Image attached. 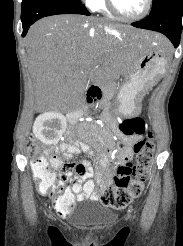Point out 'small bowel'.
Returning a JSON list of instances; mask_svg holds the SVG:
<instances>
[{
  "label": "small bowel",
  "instance_id": "small-bowel-1",
  "mask_svg": "<svg viewBox=\"0 0 183 246\" xmlns=\"http://www.w3.org/2000/svg\"><path fill=\"white\" fill-rule=\"evenodd\" d=\"M82 138L86 141L76 140L73 144H60L55 147L53 153L46 152L50 158V164L57 170L63 181L71 180V189H66L60 195L65 199H70L72 204L84 200H98L99 195L95 191L96 182L99 188H103V181L109 176L111 162L116 164H125L129 162L134 154V146L142 138V134L125 135L117 128L101 129L94 131H83ZM114 135L120 137L124 143V148L116 150ZM92 147L95 151L92 150ZM87 153L95 155L96 173L89 160H82L75 164L69 161L73 154ZM63 153L66 159L63 162L59 154ZM76 171V173H72ZM82 171V172H77ZM96 175V181L93 175ZM44 195L49 193L40 191ZM72 208L58 210L60 215L66 217L72 211Z\"/></svg>",
  "mask_w": 183,
  "mask_h": 246
}]
</instances>
